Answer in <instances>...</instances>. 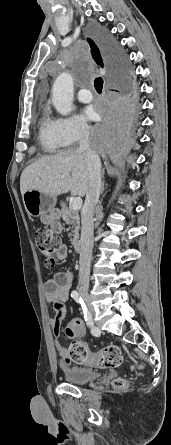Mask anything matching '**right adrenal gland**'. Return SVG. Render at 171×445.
Instances as JSON below:
<instances>
[{"label":"right adrenal gland","mask_w":171,"mask_h":445,"mask_svg":"<svg viewBox=\"0 0 171 445\" xmlns=\"http://www.w3.org/2000/svg\"><path fill=\"white\" fill-rule=\"evenodd\" d=\"M104 189H105L104 184H102V187H101V193L104 192Z\"/></svg>","instance_id":"1"}]
</instances>
